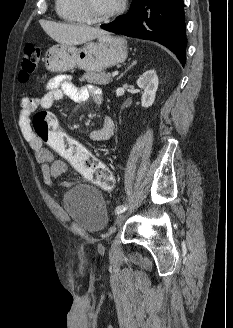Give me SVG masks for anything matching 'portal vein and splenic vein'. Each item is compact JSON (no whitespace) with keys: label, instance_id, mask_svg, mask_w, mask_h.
<instances>
[{"label":"portal vein and splenic vein","instance_id":"18ae733b","mask_svg":"<svg viewBox=\"0 0 233 328\" xmlns=\"http://www.w3.org/2000/svg\"><path fill=\"white\" fill-rule=\"evenodd\" d=\"M118 73H119L118 71L113 72L112 77H115L116 75H118Z\"/></svg>","mask_w":233,"mask_h":328}]
</instances>
